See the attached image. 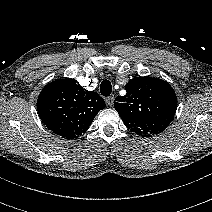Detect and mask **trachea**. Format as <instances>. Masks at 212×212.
Here are the masks:
<instances>
[{
	"instance_id": "1",
	"label": "trachea",
	"mask_w": 212,
	"mask_h": 212,
	"mask_svg": "<svg viewBox=\"0 0 212 212\" xmlns=\"http://www.w3.org/2000/svg\"><path fill=\"white\" fill-rule=\"evenodd\" d=\"M100 92L103 96L107 97L112 92V85L109 80H103L100 85Z\"/></svg>"
}]
</instances>
